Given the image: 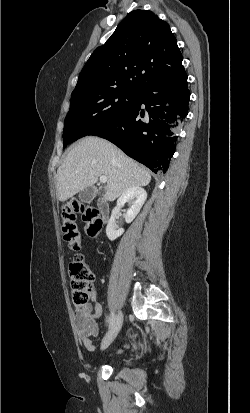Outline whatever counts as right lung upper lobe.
I'll use <instances>...</instances> for the list:
<instances>
[{"label":"right lung upper lobe","mask_w":250,"mask_h":413,"mask_svg":"<svg viewBox=\"0 0 250 413\" xmlns=\"http://www.w3.org/2000/svg\"><path fill=\"white\" fill-rule=\"evenodd\" d=\"M185 72L169 25L148 10L130 12L83 67L72 94L120 87L141 89Z\"/></svg>","instance_id":"1"}]
</instances>
